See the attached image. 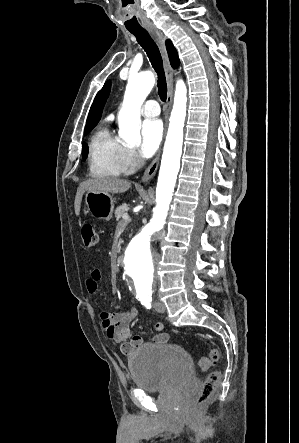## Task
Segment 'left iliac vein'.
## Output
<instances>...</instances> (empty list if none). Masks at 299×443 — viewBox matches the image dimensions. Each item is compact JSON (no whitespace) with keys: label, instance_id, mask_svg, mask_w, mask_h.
<instances>
[{"label":"left iliac vein","instance_id":"obj_1","mask_svg":"<svg viewBox=\"0 0 299 443\" xmlns=\"http://www.w3.org/2000/svg\"><path fill=\"white\" fill-rule=\"evenodd\" d=\"M155 309L159 313H164L166 311V307L162 302H157L155 304Z\"/></svg>","mask_w":299,"mask_h":443}]
</instances>
